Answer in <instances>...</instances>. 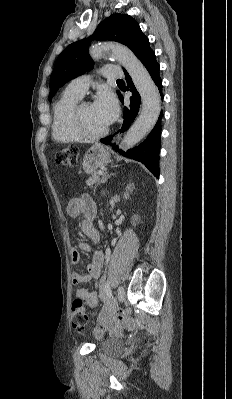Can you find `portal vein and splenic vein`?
Returning a JSON list of instances; mask_svg holds the SVG:
<instances>
[{
    "label": "portal vein and splenic vein",
    "instance_id": "1",
    "mask_svg": "<svg viewBox=\"0 0 232 399\" xmlns=\"http://www.w3.org/2000/svg\"><path fill=\"white\" fill-rule=\"evenodd\" d=\"M105 170H99L98 174L99 176H102V174H104Z\"/></svg>",
    "mask_w": 232,
    "mask_h": 399
}]
</instances>
